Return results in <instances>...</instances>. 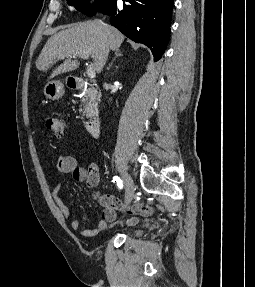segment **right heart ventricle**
Here are the masks:
<instances>
[{"mask_svg": "<svg viewBox=\"0 0 255 287\" xmlns=\"http://www.w3.org/2000/svg\"><path fill=\"white\" fill-rule=\"evenodd\" d=\"M124 48H135V47H124Z\"/></svg>", "mask_w": 255, "mask_h": 287, "instance_id": "right-heart-ventricle-1", "label": "right heart ventricle"}]
</instances>
